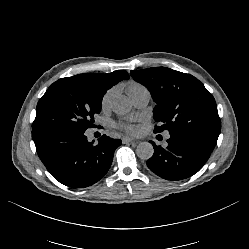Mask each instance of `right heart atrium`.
<instances>
[{
	"label": "right heart atrium",
	"mask_w": 249,
	"mask_h": 249,
	"mask_svg": "<svg viewBox=\"0 0 249 249\" xmlns=\"http://www.w3.org/2000/svg\"><path fill=\"white\" fill-rule=\"evenodd\" d=\"M114 93H115V87H111L104 92V94L101 98V107L102 108L109 107L110 101H111Z\"/></svg>",
	"instance_id": "1"
}]
</instances>
